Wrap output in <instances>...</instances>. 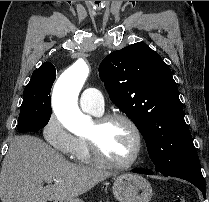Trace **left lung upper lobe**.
<instances>
[{"label": "left lung upper lobe", "mask_w": 209, "mask_h": 202, "mask_svg": "<svg viewBox=\"0 0 209 202\" xmlns=\"http://www.w3.org/2000/svg\"><path fill=\"white\" fill-rule=\"evenodd\" d=\"M99 76L112 102L135 123L161 174L197 155L168 65L144 43L110 53Z\"/></svg>", "instance_id": "obj_1"}]
</instances>
